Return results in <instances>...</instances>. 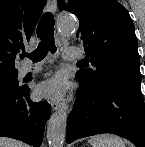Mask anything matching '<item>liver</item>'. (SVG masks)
<instances>
[{"mask_svg": "<svg viewBox=\"0 0 145 147\" xmlns=\"http://www.w3.org/2000/svg\"><path fill=\"white\" fill-rule=\"evenodd\" d=\"M0 147H25V145L11 138L0 137Z\"/></svg>", "mask_w": 145, "mask_h": 147, "instance_id": "1", "label": "liver"}]
</instances>
